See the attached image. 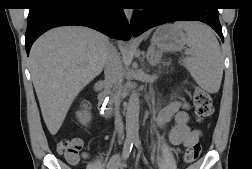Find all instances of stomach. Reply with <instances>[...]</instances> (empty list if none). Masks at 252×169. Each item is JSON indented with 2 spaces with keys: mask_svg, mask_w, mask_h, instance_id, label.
Masks as SVG:
<instances>
[{
  "mask_svg": "<svg viewBox=\"0 0 252 169\" xmlns=\"http://www.w3.org/2000/svg\"><path fill=\"white\" fill-rule=\"evenodd\" d=\"M152 42L165 51H181L186 44V35L175 24H167L159 27L152 37Z\"/></svg>",
  "mask_w": 252,
  "mask_h": 169,
  "instance_id": "0dacf381",
  "label": "stomach"
}]
</instances>
